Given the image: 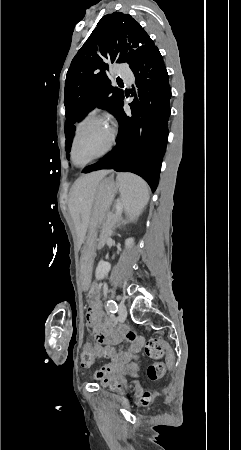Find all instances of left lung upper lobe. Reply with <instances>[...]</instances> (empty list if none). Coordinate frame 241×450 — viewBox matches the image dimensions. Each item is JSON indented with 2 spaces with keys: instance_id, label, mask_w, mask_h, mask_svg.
Returning a JSON list of instances; mask_svg holds the SVG:
<instances>
[{
  "instance_id": "1",
  "label": "left lung upper lobe",
  "mask_w": 241,
  "mask_h": 450,
  "mask_svg": "<svg viewBox=\"0 0 241 450\" xmlns=\"http://www.w3.org/2000/svg\"><path fill=\"white\" fill-rule=\"evenodd\" d=\"M154 42L131 15L114 12L102 17L68 69L64 104L66 108V151L70 152L74 124L90 108L98 106L114 116L124 92L113 87L108 77L110 63H128L140 59Z\"/></svg>"
}]
</instances>
